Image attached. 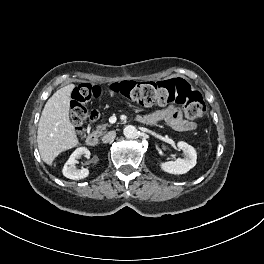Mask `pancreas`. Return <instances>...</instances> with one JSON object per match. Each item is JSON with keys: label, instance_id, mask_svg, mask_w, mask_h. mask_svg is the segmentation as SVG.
<instances>
[{"label": "pancreas", "instance_id": "pancreas-1", "mask_svg": "<svg viewBox=\"0 0 264 264\" xmlns=\"http://www.w3.org/2000/svg\"><path fill=\"white\" fill-rule=\"evenodd\" d=\"M110 124H103V125H98L97 126V130L95 131V133L97 134H102L104 130H106L107 127H110Z\"/></svg>", "mask_w": 264, "mask_h": 264}]
</instances>
